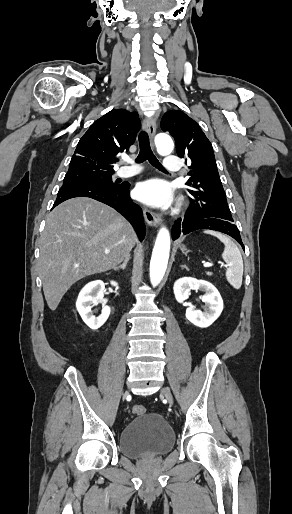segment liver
<instances>
[{
	"label": "liver",
	"mask_w": 292,
	"mask_h": 514,
	"mask_svg": "<svg viewBox=\"0 0 292 514\" xmlns=\"http://www.w3.org/2000/svg\"><path fill=\"white\" fill-rule=\"evenodd\" d=\"M136 240L129 222L101 202L72 198L57 206L39 240V268L50 310H56L78 280L121 264Z\"/></svg>",
	"instance_id": "1"
}]
</instances>
